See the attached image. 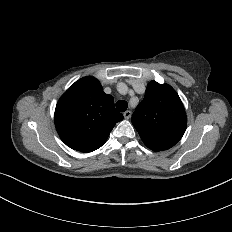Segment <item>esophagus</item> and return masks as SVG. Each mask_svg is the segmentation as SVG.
<instances>
[{
    "label": "esophagus",
    "mask_w": 232,
    "mask_h": 232,
    "mask_svg": "<svg viewBox=\"0 0 232 232\" xmlns=\"http://www.w3.org/2000/svg\"><path fill=\"white\" fill-rule=\"evenodd\" d=\"M131 115H132V112L129 110L125 111L123 114L125 119H129L131 117Z\"/></svg>",
    "instance_id": "esophagus-1"
}]
</instances>
